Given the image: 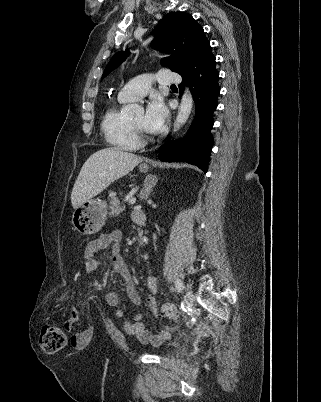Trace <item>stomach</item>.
Here are the masks:
<instances>
[{
	"label": "stomach",
	"instance_id": "1",
	"mask_svg": "<svg viewBox=\"0 0 321 402\" xmlns=\"http://www.w3.org/2000/svg\"><path fill=\"white\" fill-rule=\"evenodd\" d=\"M139 169L145 173L148 171L149 166L141 164ZM106 218V202L98 198H91L75 209L72 215V225L79 233L91 235L100 231L105 224Z\"/></svg>",
	"mask_w": 321,
	"mask_h": 402
}]
</instances>
